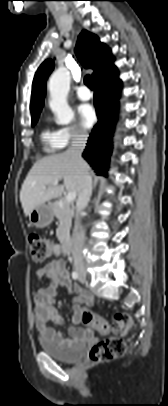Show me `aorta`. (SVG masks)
Segmentation results:
<instances>
[{"label":"aorta","instance_id":"762f6f07","mask_svg":"<svg viewBox=\"0 0 168 406\" xmlns=\"http://www.w3.org/2000/svg\"><path fill=\"white\" fill-rule=\"evenodd\" d=\"M70 80V72L64 67H59L51 75L48 83L49 106L56 116V122L61 125L69 124L74 117V113L67 102Z\"/></svg>","mask_w":168,"mask_h":406}]
</instances>
